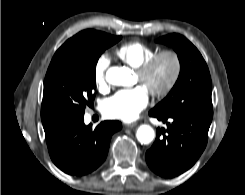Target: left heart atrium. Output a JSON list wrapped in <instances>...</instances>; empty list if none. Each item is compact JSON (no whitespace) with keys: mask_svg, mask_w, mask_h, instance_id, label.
<instances>
[{"mask_svg":"<svg viewBox=\"0 0 245 195\" xmlns=\"http://www.w3.org/2000/svg\"><path fill=\"white\" fill-rule=\"evenodd\" d=\"M148 91L143 86L122 89L102 103L103 114L124 122L135 120L148 104Z\"/></svg>","mask_w":245,"mask_h":195,"instance_id":"39dd6f15","label":"left heart atrium"}]
</instances>
